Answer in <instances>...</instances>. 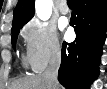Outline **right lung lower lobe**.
<instances>
[{
	"label": "right lung lower lobe",
	"mask_w": 107,
	"mask_h": 89,
	"mask_svg": "<svg viewBox=\"0 0 107 89\" xmlns=\"http://www.w3.org/2000/svg\"><path fill=\"white\" fill-rule=\"evenodd\" d=\"M71 26L76 40L63 42L59 82L67 89H86L99 74L106 39L107 0H74Z\"/></svg>",
	"instance_id": "98d812e1"
}]
</instances>
